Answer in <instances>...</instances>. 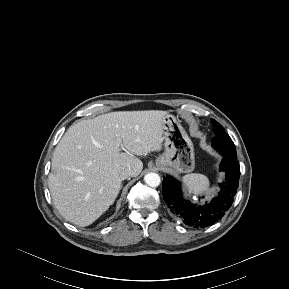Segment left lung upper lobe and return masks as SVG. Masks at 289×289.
<instances>
[{
	"mask_svg": "<svg viewBox=\"0 0 289 289\" xmlns=\"http://www.w3.org/2000/svg\"><path fill=\"white\" fill-rule=\"evenodd\" d=\"M215 137L212 139V146L220 152H235L234 143L223 127L215 120L211 119Z\"/></svg>",
	"mask_w": 289,
	"mask_h": 289,
	"instance_id": "5c2ea615",
	"label": "left lung upper lobe"
}]
</instances>
